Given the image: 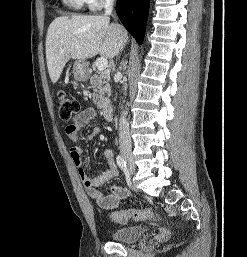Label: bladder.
Returning a JSON list of instances; mask_svg holds the SVG:
<instances>
[{"mask_svg": "<svg viewBox=\"0 0 247 257\" xmlns=\"http://www.w3.org/2000/svg\"><path fill=\"white\" fill-rule=\"evenodd\" d=\"M147 233V228L141 225L116 228L110 231V238L119 243H133Z\"/></svg>", "mask_w": 247, "mask_h": 257, "instance_id": "31cf9c89", "label": "bladder"}]
</instances>
